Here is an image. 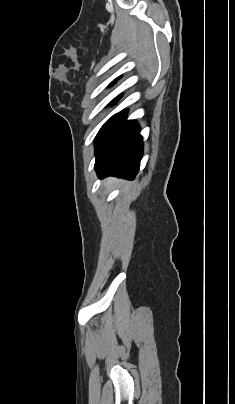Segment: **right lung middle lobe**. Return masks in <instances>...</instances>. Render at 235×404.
<instances>
[{
  "mask_svg": "<svg viewBox=\"0 0 235 404\" xmlns=\"http://www.w3.org/2000/svg\"><path fill=\"white\" fill-rule=\"evenodd\" d=\"M118 101V99H115L112 103H116Z\"/></svg>",
  "mask_w": 235,
  "mask_h": 404,
  "instance_id": "right-lung-middle-lobe-1",
  "label": "right lung middle lobe"
}]
</instances>
